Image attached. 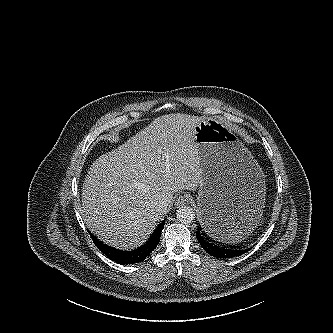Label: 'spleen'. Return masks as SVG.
<instances>
[{
    "instance_id": "obj_1",
    "label": "spleen",
    "mask_w": 333,
    "mask_h": 333,
    "mask_svg": "<svg viewBox=\"0 0 333 333\" xmlns=\"http://www.w3.org/2000/svg\"><path fill=\"white\" fill-rule=\"evenodd\" d=\"M251 230L252 229L250 227L241 225L239 229L234 228L229 230V232L222 237V241L241 240L242 238H245Z\"/></svg>"
}]
</instances>
